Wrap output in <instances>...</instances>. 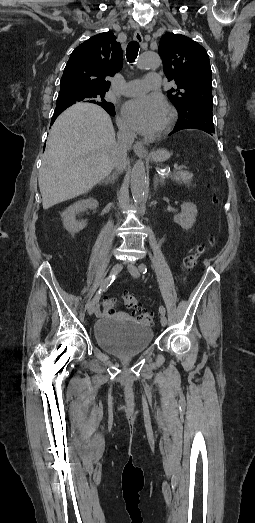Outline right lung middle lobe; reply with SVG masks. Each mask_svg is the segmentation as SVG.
<instances>
[{
	"label": "right lung middle lobe",
	"instance_id": "obj_1",
	"mask_svg": "<svg viewBox=\"0 0 255 523\" xmlns=\"http://www.w3.org/2000/svg\"><path fill=\"white\" fill-rule=\"evenodd\" d=\"M104 96V92L87 91L80 89H64L60 90L59 96L57 98V103L77 101H86L94 103L97 101L105 100Z\"/></svg>",
	"mask_w": 255,
	"mask_h": 523
}]
</instances>
